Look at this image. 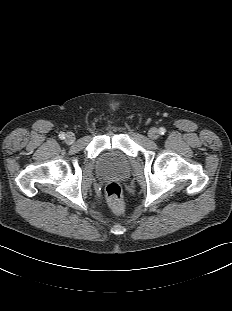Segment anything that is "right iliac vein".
<instances>
[{"label": "right iliac vein", "instance_id": "right-iliac-vein-1", "mask_svg": "<svg viewBox=\"0 0 232 311\" xmlns=\"http://www.w3.org/2000/svg\"><path fill=\"white\" fill-rule=\"evenodd\" d=\"M65 141L67 144H72L75 141V135L73 133H68L66 135Z\"/></svg>", "mask_w": 232, "mask_h": 311}]
</instances>
